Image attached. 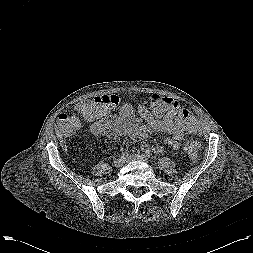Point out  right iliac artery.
<instances>
[{
  "label": "right iliac artery",
  "instance_id": "1",
  "mask_svg": "<svg viewBox=\"0 0 253 253\" xmlns=\"http://www.w3.org/2000/svg\"><path fill=\"white\" fill-rule=\"evenodd\" d=\"M129 153L127 151H123L121 154V158L126 159L128 157Z\"/></svg>",
  "mask_w": 253,
  "mask_h": 253
}]
</instances>
